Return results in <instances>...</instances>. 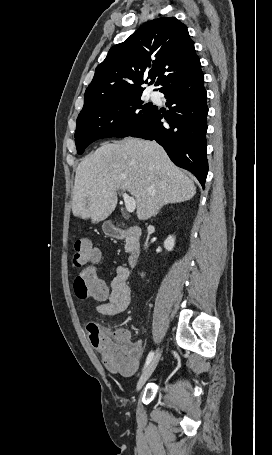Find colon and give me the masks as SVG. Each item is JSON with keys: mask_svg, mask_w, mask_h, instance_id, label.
I'll list each match as a JSON object with an SVG mask.
<instances>
[{"mask_svg": "<svg viewBox=\"0 0 272 455\" xmlns=\"http://www.w3.org/2000/svg\"><path fill=\"white\" fill-rule=\"evenodd\" d=\"M73 264L81 268L82 272L74 281V291L80 299H95L104 301L108 295L106 283L96 276L94 265L100 254L91 243L84 238L75 240L73 244ZM87 333L91 344L100 353L104 364L111 370L123 371L133 360L132 346L118 339L115 335L101 330L96 324L87 326Z\"/></svg>", "mask_w": 272, "mask_h": 455, "instance_id": "1", "label": "colon"}]
</instances>
